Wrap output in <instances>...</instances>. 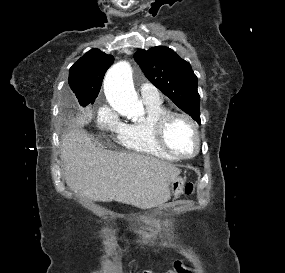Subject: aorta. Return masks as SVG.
<instances>
[{
    "mask_svg": "<svg viewBox=\"0 0 285 273\" xmlns=\"http://www.w3.org/2000/svg\"><path fill=\"white\" fill-rule=\"evenodd\" d=\"M104 92L110 106L128 117H141L144 107L133 85L132 68L126 61L113 65L104 79Z\"/></svg>",
    "mask_w": 285,
    "mask_h": 273,
    "instance_id": "obj_1",
    "label": "aorta"
}]
</instances>
